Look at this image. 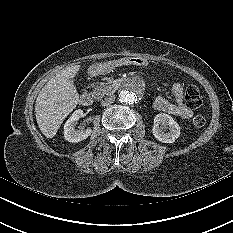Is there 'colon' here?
Segmentation results:
<instances>
[{"label": "colon", "instance_id": "5ec220e1", "mask_svg": "<svg viewBox=\"0 0 233 233\" xmlns=\"http://www.w3.org/2000/svg\"><path fill=\"white\" fill-rule=\"evenodd\" d=\"M185 102L189 108L196 109L202 103L201 95L197 87L190 85L185 90ZM205 124V118L202 115H196L192 120V125L195 128H201Z\"/></svg>", "mask_w": 233, "mask_h": 233}]
</instances>
